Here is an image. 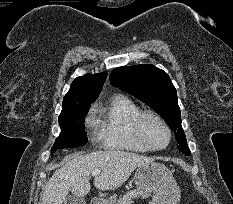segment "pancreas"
I'll use <instances>...</instances> for the list:
<instances>
[{"label":"pancreas","mask_w":233,"mask_h":204,"mask_svg":"<svg viewBox=\"0 0 233 204\" xmlns=\"http://www.w3.org/2000/svg\"><path fill=\"white\" fill-rule=\"evenodd\" d=\"M151 194L148 191H143L140 188L128 191L122 197L119 198L117 204H132L134 198L141 197L142 199H146Z\"/></svg>","instance_id":"obj_1"}]
</instances>
